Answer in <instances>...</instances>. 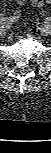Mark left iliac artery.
I'll use <instances>...</instances> for the list:
<instances>
[{
  "instance_id": "left-iliac-artery-1",
  "label": "left iliac artery",
  "mask_w": 51,
  "mask_h": 153,
  "mask_svg": "<svg viewBox=\"0 0 51 153\" xmlns=\"http://www.w3.org/2000/svg\"><path fill=\"white\" fill-rule=\"evenodd\" d=\"M47 21H48V23H50L51 22V17H48Z\"/></svg>"
}]
</instances>
